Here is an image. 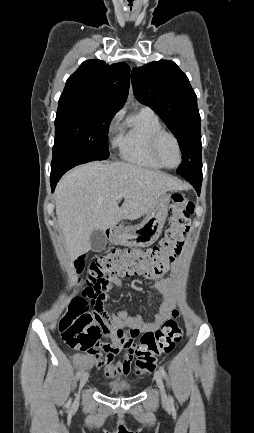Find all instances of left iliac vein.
Returning a JSON list of instances; mask_svg holds the SVG:
<instances>
[{
    "label": "left iliac vein",
    "mask_w": 254,
    "mask_h": 433,
    "mask_svg": "<svg viewBox=\"0 0 254 433\" xmlns=\"http://www.w3.org/2000/svg\"><path fill=\"white\" fill-rule=\"evenodd\" d=\"M155 379H156L157 386H158V388L160 390L162 399L164 401H166L167 400V396H166V393H165V387H164L163 379H162V376H161L160 372H156L155 373Z\"/></svg>",
    "instance_id": "1"
}]
</instances>
